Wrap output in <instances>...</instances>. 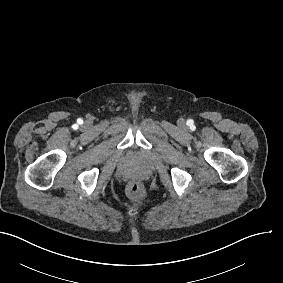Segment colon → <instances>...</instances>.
Masks as SVG:
<instances>
[{
    "label": "colon",
    "mask_w": 283,
    "mask_h": 283,
    "mask_svg": "<svg viewBox=\"0 0 283 283\" xmlns=\"http://www.w3.org/2000/svg\"><path fill=\"white\" fill-rule=\"evenodd\" d=\"M130 190L133 194V197L136 198V199H140L144 195L142 188L140 187V185L137 182L132 183L130 185Z\"/></svg>",
    "instance_id": "obj_1"
}]
</instances>
